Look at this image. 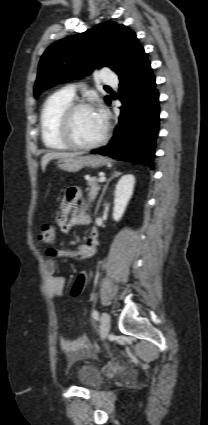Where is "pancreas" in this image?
<instances>
[{
	"mask_svg": "<svg viewBox=\"0 0 208 425\" xmlns=\"http://www.w3.org/2000/svg\"><path fill=\"white\" fill-rule=\"evenodd\" d=\"M87 182L89 185V188L87 189L88 198H89V201L92 202L93 200H95L96 196L98 195L100 185L98 184V180L96 177L90 178Z\"/></svg>",
	"mask_w": 208,
	"mask_h": 425,
	"instance_id": "cf45deb5",
	"label": "pancreas"
}]
</instances>
